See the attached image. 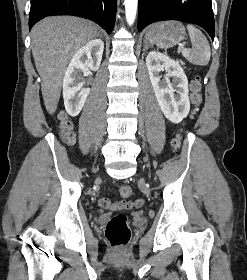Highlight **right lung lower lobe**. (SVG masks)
<instances>
[{"label": "right lung lower lobe", "instance_id": "98d812e1", "mask_svg": "<svg viewBox=\"0 0 247 280\" xmlns=\"http://www.w3.org/2000/svg\"><path fill=\"white\" fill-rule=\"evenodd\" d=\"M117 0H31L29 29L51 15H75L99 23L108 34L114 28Z\"/></svg>", "mask_w": 247, "mask_h": 280}]
</instances>
